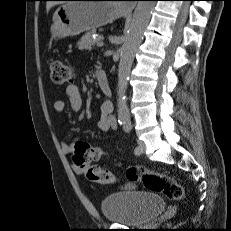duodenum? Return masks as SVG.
Segmentation results:
<instances>
[{"label": "duodenum", "mask_w": 231, "mask_h": 231, "mask_svg": "<svg viewBox=\"0 0 231 231\" xmlns=\"http://www.w3.org/2000/svg\"><path fill=\"white\" fill-rule=\"evenodd\" d=\"M95 74H96L97 82H98L99 87L102 90V92L106 96L111 97L112 96V89H111V86L109 84V81H108L106 74L100 69H97Z\"/></svg>", "instance_id": "duodenum-1"}]
</instances>
